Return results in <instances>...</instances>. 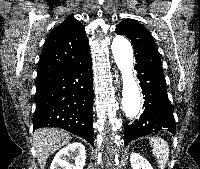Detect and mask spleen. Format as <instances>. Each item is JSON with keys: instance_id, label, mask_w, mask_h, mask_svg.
<instances>
[{"instance_id": "1", "label": "spleen", "mask_w": 200, "mask_h": 169, "mask_svg": "<svg viewBox=\"0 0 200 169\" xmlns=\"http://www.w3.org/2000/svg\"><path fill=\"white\" fill-rule=\"evenodd\" d=\"M150 146L152 147L154 156L160 164V168L164 169L169 158L168 143L160 137H152L150 140Z\"/></svg>"}]
</instances>
